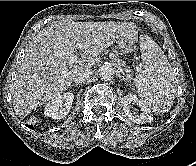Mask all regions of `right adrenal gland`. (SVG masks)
I'll return each instance as SVG.
<instances>
[{
    "label": "right adrenal gland",
    "instance_id": "obj_1",
    "mask_svg": "<svg viewBox=\"0 0 196 166\" xmlns=\"http://www.w3.org/2000/svg\"><path fill=\"white\" fill-rule=\"evenodd\" d=\"M72 86H76V87H78V86H79V84H77V83H74V84H72Z\"/></svg>",
    "mask_w": 196,
    "mask_h": 166
}]
</instances>
